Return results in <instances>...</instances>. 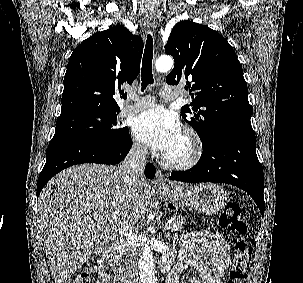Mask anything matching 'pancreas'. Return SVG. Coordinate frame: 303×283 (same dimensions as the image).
Returning a JSON list of instances; mask_svg holds the SVG:
<instances>
[{"label":"pancreas","instance_id":"pancreas-1","mask_svg":"<svg viewBox=\"0 0 303 283\" xmlns=\"http://www.w3.org/2000/svg\"><path fill=\"white\" fill-rule=\"evenodd\" d=\"M172 223L170 224V229L172 231H179L183 229V224L185 223V219L181 215L174 214L171 216ZM119 252H124V248L119 245Z\"/></svg>","mask_w":303,"mask_h":283}]
</instances>
